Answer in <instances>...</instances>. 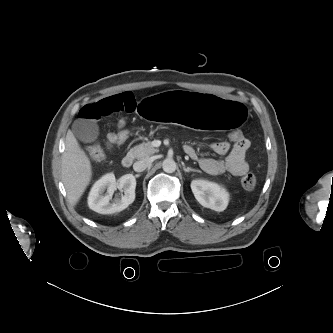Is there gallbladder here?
Wrapping results in <instances>:
<instances>
[{"mask_svg": "<svg viewBox=\"0 0 333 333\" xmlns=\"http://www.w3.org/2000/svg\"><path fill=\"white\" fill-rule=\"evenodd\" d=\"M73 134L83 142L94 141L99 134L98 125L88 119H77L72 125Z\"/></svg>", "mask_w": 333, "mask_h": 333, "instance_id": "1", "label": "gallbladder"}]
</instances>
